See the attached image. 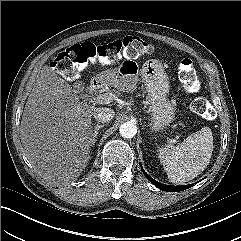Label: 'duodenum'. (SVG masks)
Wrapping results in <instances>:
<instances>
[{"label":"duodenum","mask_w":241,"mask_h":241,"mask_svg":"<svg viewBox=\"0 0 241 241\" xmlns=\"http://www.w3.org/2000/svg\"><path fill=\"white\" fill-rule=\"evenodd\" d=\"M103 83L100 79H93L87 88V93L93 95L102 87Z\"/></svg>","instance_id":"1"}]
</instances>
